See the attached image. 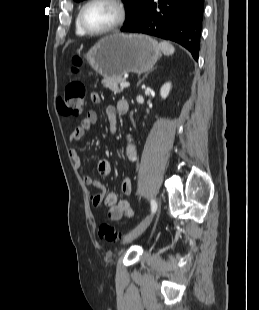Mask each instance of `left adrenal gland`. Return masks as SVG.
Wrapping results in <instances>:
<instances>
[{"label": "left adrenal gland", "mask_w": 259, "mask_h": 310, "mask_svg": "<svg viewBox=\"0 0 259 310\" xmlns=\"http://www.w3.org/2000/svg\"><path fill=\"white\" fill-rule=\"evenodd\" d=\"M146 77H147V75H145V76L139 81L138 85H140L141 82L144 81V79H145Z\"/></svg>", "instance_id": "left-adrenal-gland-1"}]
</instances>
